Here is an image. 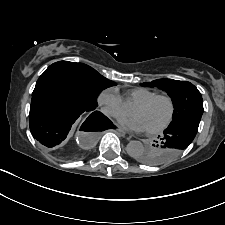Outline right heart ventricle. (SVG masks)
<instances>
[{
	"label": "right heart ventricle",
	"instance_id": "1",
	"mask_svg": "<svg viewBox=\"0 0 225 225\" xmlns=\"http://www.w3.org/2000/svg\"><path fill=\"white\" fill-rule=\"evenodd\" d=\"M156 94H157V92L154 90H150V89L142 88V87L135 88V89L129 90L126 93L125 101L128 104L135 105V104H137L141 101H144Z\"/></svg>",
	"mask_w": 225,
	"mask_h": 225
}]
</instances>
